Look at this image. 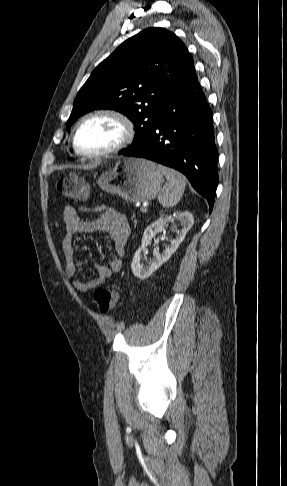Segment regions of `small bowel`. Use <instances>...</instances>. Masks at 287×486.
Wrapping results in <instances>:
<instances>
[{
    "label": "small bowel",
    "instance_id": "small-bowel-1",
    "mask_svg": "<svg viewBox=\"0 0 287 486\" xmlns=\"http://www.w3.org/2000/svg\"><path fill=\"white\" fill-rule=\"evenodd\" d=\"M96 218H91L72 206L64 209L63 220L66 227L62 240V250L65 256V274L72 286L79 292H86L103 285L112 275L122 268L121 257L125 253V247L130 235V226L126 215L111 208L98 207ZM80 232H105L112 240L116 256L111 258L107 265H96L97 277L89 281H81L77 278L75 264V250L73 239Z\"/></svg>",
    "mask_w": 287,
    "mask_h": 486
}]
</instances>
